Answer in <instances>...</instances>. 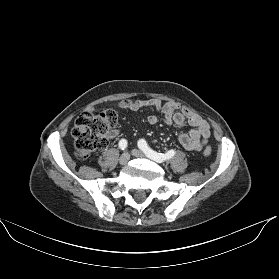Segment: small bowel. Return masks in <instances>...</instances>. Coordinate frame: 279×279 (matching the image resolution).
Segmentation results:
<instances>
[{
	"label": "small bowel",
	"mask_w": 279,
	"mask_h": 279,
	"mask_svg": "<svg viewBox=\"0 0 279 279\" xmlns=\"http://www.w3.org/2000/svg\"><path fill=\"white\" fill-rule=\"evenodd\" d=\"M146 106L155 107L161 114L162 120L168 124H174L175 126L182 128L186 125L191 127L188 133L181 132L178 135L180 144L189 151H200L206 146L210 138V127L209 124L199 115L192 111L181 108L178 103L167 102L162 104L157 99L147 100H124L119 103V107L128 108L133 111ZM150 125H154L158 122L156 115H150L147 118Z\"/></svg>",
	"instance_id": "c3829d8e"
}]
</instances>
